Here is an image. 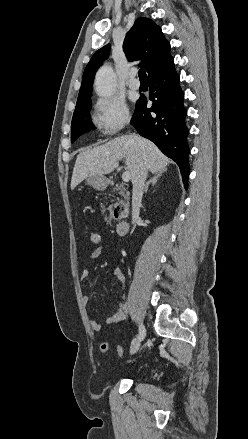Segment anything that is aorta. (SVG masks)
I'll return each instance as SVG.
<instances>
[{"instance_id": "obj_1", "label": "aorta", "mask_w": 248, "mask_h": 439, "mask_svg": "<svg viewBox=\"0 0 248 439\" xmlns=\"http://www.w3.org/2000/svg\"><path fill=\"white\" fill-rule=\"evenodd\" d=\"M116 85V75L109 65L102 66L95 78V91L102 98H109L113 95Z\"/></svg>"}]
</instances>
